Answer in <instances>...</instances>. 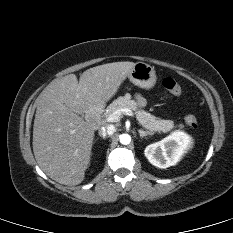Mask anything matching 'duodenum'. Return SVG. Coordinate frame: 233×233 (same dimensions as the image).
I'll return each instance as SVG.
<instances>
[{
  "label": "duodenum",
  "mask_w": 233,
  "mask_h": 233,
  "mask_svg": "<svg viewBox=\"0 0 233 233\" xmlns=\"http://www.w3.org/2000/svg\"><path fill=\"white\" fill-rule=\"evenodd\" d=\"M87 119L90 123L98 125L100 121L99 112L96 109H90L87 113Z\"/></svg>",
  "instance_id": "1"
}]
</instances>
